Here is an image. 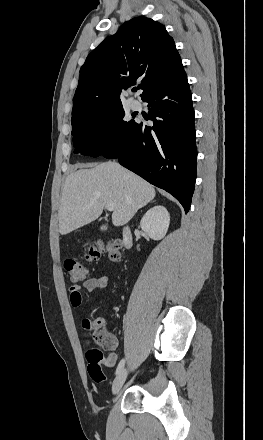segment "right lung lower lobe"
I'll list each match as a JSON object with an SVG mask.
<instances>
[{
	"instance_id": "1",
	"label": "right lung lower lobe",
	"mask_w": 263,
	"mask_h": 440,
	"mask_svg": "<svg viewBox=\"0 0 263 440\" xmlns=\"http://www.w3.org/2000/svg\"><path fill=\"white\" fill-rule=\"evenodd\" d=\"M153 126L136 123L118 143L102 154L151 184L172 194L187 213L196 180L194 110L187 76L183 70L143 98Z\"/></svg>"
}]
</instances>
